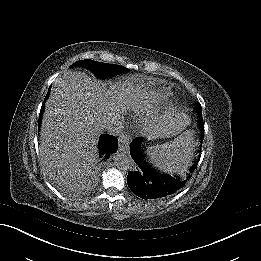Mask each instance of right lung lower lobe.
Returning a JSON list of instances; mask_svg holds the SVG:
<instances>
[{
    "mask_svg": "<svg viewBox=\"0 0 261 261\" xmlns=\"http://www.w3.org/2000/svg\"><path fill=\"white\" fill-rule=\"evenodd\" d=\"M49 93H50V88L48 90L46 98L48 97ZM43 111H44V103L40 110L39 127H40ZM98 148H99V157L101 158L102 161L106 160L111 153L116 152V149L118 148L117 138L115 136L107 135V134L101 135L99 139Z\"/></svg>",
    "mask_w": 261,
    "mask_h": 261,
    "instance_id": "1",
    "label": "right lung lower lobe"
}]
</instances>
